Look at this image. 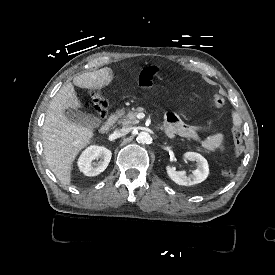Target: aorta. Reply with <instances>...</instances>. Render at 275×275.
I'll list each match as a JSON object with an SVG mask.
<instances>
[{
	"label": "aorta",
	"mask_w": 275,
	"mask_h": 275,
	"mask_svg": "<svg viewBox=\"0 0 275 275\" xmlns=\"http://www.w3.org/2000/svg\"><path fill=\"white\" fill-rule=\"evenodd\" d=\"M151 140V136L148 132H140L137 136V142L141 143V144H147L148 142H150Z\"/></svg>",
	"instance_id": "762f6f07"
}]
</instances>
